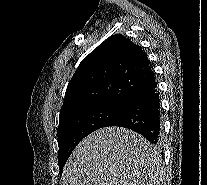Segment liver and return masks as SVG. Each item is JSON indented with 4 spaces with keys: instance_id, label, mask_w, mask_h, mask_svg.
<instances>
[{
    "instance_id": "1",
    "label": "liver",
    "mask_w": 207,
    "mask_h": 185,
    "mask_svg": "<svg viewBox=\"0 0 207 185\" xmlns=\"http://www.w3.org/2000/svg\"><path fill=\"white\" fill-rule=\"evenodd\" d=\"M153 147L131 129L104 127L72 151L60 185H148L160 169Z\"/></svg>"
}]
</instances>
